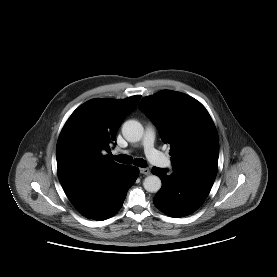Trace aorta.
Here are the masks:
<instances>
[{"label": "aorta", "instance_id": "762f6f07", "mask_svg": "<svg viewBox=\"0 0 277 277\" xmlns=\"http://www.w3.org/2000/svg\"><path fill=\"white\" fill-rule=\"evenodd\" d=\"M143 133V126L136 120H128L122 126V135L128 142L140 141ZM143 186L146 191L156 193L160 190L162 183L158 176L150 175L144 179Z\"/></svg>", "mask_w": 277, "mask_h": 277}]
</instances>
